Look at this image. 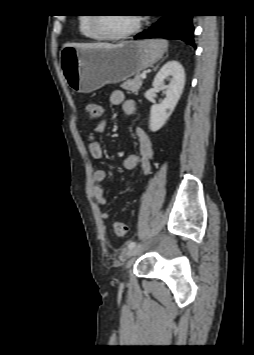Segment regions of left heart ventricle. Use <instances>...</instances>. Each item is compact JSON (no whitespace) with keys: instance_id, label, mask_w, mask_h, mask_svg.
Here are the masks:
<instances>
[{"instance_id":"obj_1","label":"left heart ventricle","mask_w":254,"mask_h":355,"mask_svg":"<svg viewBox=\"0 0 254 355\" xmlns=\"http://www.w3.org/2000/svg\"><path fill=\"white\" fill-rule=\"evenodd\" d=\"M135 21V15H112L105 17L103 19L102 25L105 31L112 34H120L132 28L135 24Z\"/></svg>"}]
</instances>
